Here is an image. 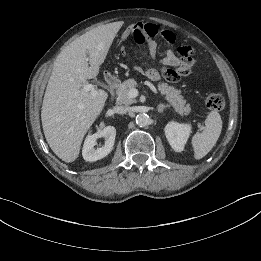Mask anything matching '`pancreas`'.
<instances>
[{"label": "pancreas", "instance_id": "1", "mask_svg": "<svg viewBox=\"0 0 261 261\" xmlns=\"http://www.w3.org/2000/svg\"><path fill=\"white\" fill-rule=\"evenodd\" d=\"M137 86L136 80L130 78L119 84L116 90L117 102L119 104L130 105L135 102L134 99L128 97V92ZM158 90L161 95L165 96V99L171 106L179 113L187 115L191 108L189 104H186V100L181 95V91L169 86L167 83H158Z\"/></svg>", "mask_w": 261, "mask_h": 261}]
</instances>
